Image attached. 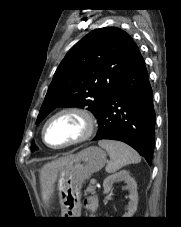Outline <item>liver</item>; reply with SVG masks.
I'll return each instance as SVG.
<instances>
[{
	"label": "liver",
	"instance_id": "liver-1",
	"mask_svg": "<svg viewBox=\"0 0 181 227\" xmlns=\"http://www.w3.org/2000/svg\"><path fill=\"white\" fill-rule=\"evenodd\" d=\"M75 155H67L57 160L51 161L45 164L40 170V185L42 190V199L45 203H48L50 198L54 195L55 182L57 181L58 174L65 166H67Z\"/></svg>",
	"mask_w": 181,
	"mask_h": 227
}]
</instances>
